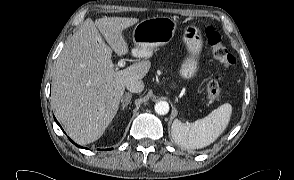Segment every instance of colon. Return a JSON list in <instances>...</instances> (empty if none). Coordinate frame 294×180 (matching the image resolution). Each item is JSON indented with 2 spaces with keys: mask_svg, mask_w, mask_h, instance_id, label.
I'll return each instance as SVG.
<instances>
[{
  "mask_svg": "<svg viewBox=\"0 0 294 180\" xmlns=\"http://www.w3.org/2000/svg\"><path fill=\"white\" fill-rule=\"evenodd\" d=\"M206 43L210 48L213 57L221 62L226 69H230L234 63V56L223 45L222 38L218 32L212 27H207L204 30ZM221 74L210 79L206 84V98L210 101H215L220 95L219 78Z\"/></svg>",
  "mask_w": 294,
  "mask_h": 180,
  "instance_id": "obj_1",
  "label": "colon"
}]
</instances>
